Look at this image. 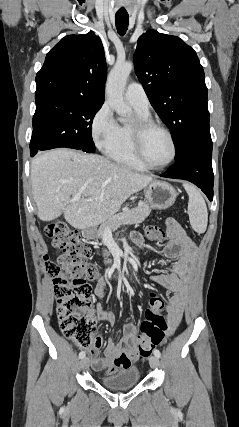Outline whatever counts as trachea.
Masks as SVG:
<instances>
[{
    "instance_id": "1",
    "label": "trachea",
    "mask_w": 239,
    "mask_h": 427,
    "mask_svg": "<svg viewBox=\"0 0 239 427\" xmlns=\"http://www.w3.org/2000/svg\"><path fill=\"white\" fill-rule=\"evenodd\" d=\"M115 22H116V29H117L118 33L121 36H123L128 29L129 16L128 15H116L115 16Z\"/></svg>"
}]
</instances>
